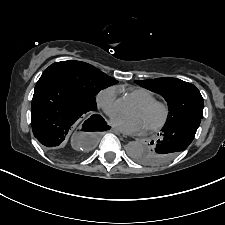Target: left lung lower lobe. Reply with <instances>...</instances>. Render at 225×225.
<instances>
[{
    "mask_svg": "<svg viewBox=\"0 0 225 225\" xmlns=\"http://www.w3.org/2000/svg\"><path fill=\"white\" fill-rule=\"evenodd\" d=\"M200 122L201 118H188L163 127L158 142L152 141L154 147L148 156V165H163L184 151L192 142Z\"/></svg>",
    "mask_w": 225,
    "mask_h": 225,
    "instance_id": "1",
    "label": "left lung lower lobe"
}]
</instances>
